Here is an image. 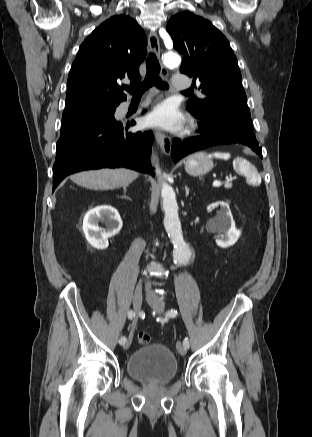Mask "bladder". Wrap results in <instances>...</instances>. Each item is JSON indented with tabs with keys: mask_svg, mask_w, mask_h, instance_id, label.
Here are the masks:
<instances>
[{
	"mask_svg": "<svg viewBox=\"0 0 312 437\" xmlns=\"http://www.w3.org/2000/svg\"><path fill=\"white\" fill-rule=\"evenodd\" d=\"M127 374L136 381L163 385L178 374V363L171 350L161 343L145 344L127 359Z\"/></svg>",
	"mask_w": 312,
	"mask_h": 437,
	"instance_id": "bladder-1",
	"label": "bladder"
}]
</instances>
